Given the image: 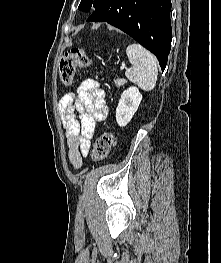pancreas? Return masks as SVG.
<instances>
[{
    "instance_id": "obj_1",
    "label": "pancreas",
    "mask_w": 221,
    "mask_h": 263,
    "mask_svg": "<svg viewBox=\"0 0 221 263\" xmlns=\"http://www.w3.org/2000/svg\"><path fill=\"white\" fill-rule=\"evenodd\" d=\"M116 87H121L126 83V80L123 78L114 79Z\"/></svg>"
}]
</instances>
